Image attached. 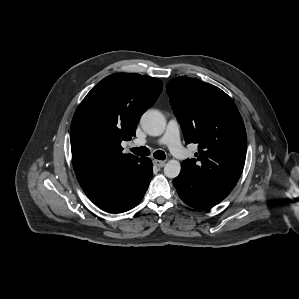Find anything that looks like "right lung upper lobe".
<instances>
[{
	"label": "right lung upper lobe",
	"instance_id": "1",
	"mask_svg": "<svg viewBox=\"0 0 299 299\" xmlns=\"http://www.w3.org/2000/svg\"><path fill=\"white\" fill-rule=\"evenodd\" d=\"M162 85L158 78L117 73L86 95L70 128L76 176H100L139 160L122 153L121 142L135 136L141 115L155 103Z\"/></svg>",
	"mask_w": 299,
	"mask_h": 299
}]
</instances>
